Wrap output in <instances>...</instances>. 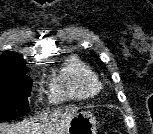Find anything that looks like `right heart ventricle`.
Wrapping results in <instances>:
<instances>
[{
	"mask_svg": "<svg viewBox=\"0 0 153 134\" xmlns=\"http://www.w3.org/2000/svg\"><path fill=\"white\" fill-rule=\"evenodd\" d=\"M50 90L53 102L83 100L99 93L100 82L89 64L76 56H71L54 73Z\"/></svg>",
	"mask_w": 153,
	"mask_h": 134,
	"instance_id": "1",
	"label": "right heart ventricle"
}]
</instances>
